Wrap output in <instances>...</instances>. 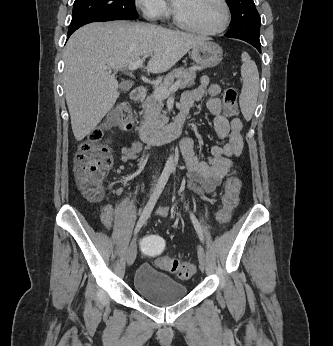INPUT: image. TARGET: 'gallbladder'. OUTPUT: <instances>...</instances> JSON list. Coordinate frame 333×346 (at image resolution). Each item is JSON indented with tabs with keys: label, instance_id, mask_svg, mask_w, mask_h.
Returning a JSON list of instances; mask_svg holds the SVG:
<instances>
[{
	"label": "gallbladder",
	"instance_id": "obj_1",
	"mask_svg": "<svg viewBox=\"0 0 333 346\" xmlns=\"http://www.w3.org/2000/svg\"><path fill=\"white\" fill-rule=\"evenodd\" d=\"M132 87V82L131 81H125L120 84V89L122 91H129Z\"/></svg>",
	"mask_w": 333,
	"mask_h": 346
}]
</instances>
